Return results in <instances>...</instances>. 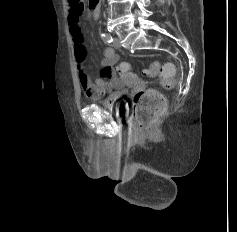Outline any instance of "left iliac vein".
<instances>
[{"label": "left iliac vein", "instance_id": "left-iliac-vein-1", "mask_svg": "<svg viewBox=\"0 0 237 232\" xmlns=\"http://www.w3.org/2000/svg\"><path fill=\"white\" fill-rule=\"evenodd\" d=\"M113 44L115 47H121V43L118 37H114Z\"/></svg>", "mask_w": 237, "mask_h": 232}]
</instances>
